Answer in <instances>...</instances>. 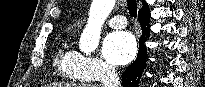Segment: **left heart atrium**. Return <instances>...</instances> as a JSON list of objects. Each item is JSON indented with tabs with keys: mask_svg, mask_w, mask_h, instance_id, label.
I'll list each match as a JSON object with an SVG mask.
<instances>
[{
	"mask_svg": "<svg viewBox=\"0 0 205 87\" xmlns=\"http://www.w3.org/2000/svg\"><path fill=\"white\" fill-rule=\"evenodd\" d=\"M106 60L113 65H125L134 59L137 52L135 37L126 31L109 34L102 46Z\"/></svg>",
	"mask_w": 205,
	"mask_h": 87,
	"instance_id": "1",
	"label": "left heart atrium"
}]
</instances>
